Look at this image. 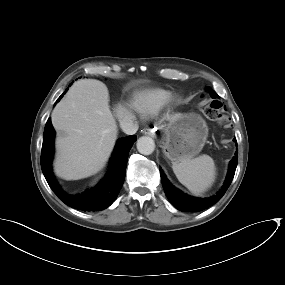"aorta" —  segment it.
I'll use <instances>...</instances> for the list:
<instances>
[{
	"mask_svg": "<svg viewBox=\"0 0 285 285\" xmlns=\"http://www.w3.org/2000/svg\"><path fill=\"white\" fill-rule=\"evenodd\" d=\"M137 150L143 155H150L155 150V142L152 138L142 136L137 140Z\"/></svg>",
	"mask_w": 285,
	"mask_h": 285,
	"instance_id": "aorta-1",
	"label": "aorta"
}]
</instances>
